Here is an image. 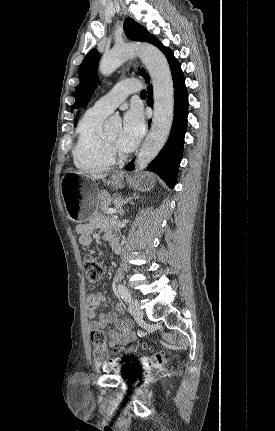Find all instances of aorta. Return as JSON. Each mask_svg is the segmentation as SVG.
<instances>
[{"label":"aorta","mask_w":275,"mask_h":431,"mask_svg":"<svg viewBox=\"0 0 275 431\" xmlns=\"http://www.w3.org/2000/svg\"><path fill=\"white\" fill-rule=\"evenodd\" d=\"M139 56L146 66L153 85L154 116L148 136L135 161V171L144 169L165 145L173 123L174 88L169 64L164 54L152 45L130 44L114 48L104 54L99 70L102 75L112 74L125 61ZM120 125L116 117L109 118L107 128Z\"/></svg>","instance_id":"1"}]
</instances>
